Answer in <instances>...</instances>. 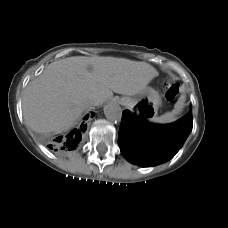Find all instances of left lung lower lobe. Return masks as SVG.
<instances>
[{
	"instance_id": "1",
	"label": "left lung lower lobe",
	"mask_w": 228,
	"mask_h": 228,
	"mask_svg": "<svg viewBox=\"0 0 228 228\" xmlns=\"http://www.w3.org/2000/svg\"><path fill=\"white\" fill-rule=\"evenodd\" d=\"M192 111L175 123L158 126L134 118L125 110L118 135L123 156L139 166H153L172 158L192 130Z\"/></svg>"
}]
</instances>
